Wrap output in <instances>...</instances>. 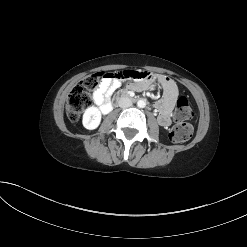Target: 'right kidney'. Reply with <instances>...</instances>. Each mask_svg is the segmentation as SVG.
I'll list each match as a JSON object with an SVG mask.
<instances>
[{"mask_svg": "<svg viewBox=\"0 0 247 247\" xmlns=\"http://www.w3.org/2000/svg\"><path fill=\"white\" fill-rule=\"evenodd\" d=\"M101 122V112L95 107H88L83 114V126L88 130L96 129Z\"/></svg>", "mask_w": 247, "mask_h": 247, "instance_id": "1", "label": "right kidney"}]
</instances>
